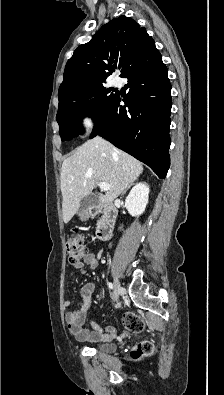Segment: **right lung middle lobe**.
I'll list each match as a JSON object with an SVG mask.
<instances>
[{"mask_svg": "<svg viewBox=\"0 0 224 395\" xmlns=\"http://www.w3.org/2000/svg\"><path fill=\"white\" fill-rule=\"evenodd\" d=\"M115 96L116 93L100 84L67 99L59 106L56 116L61 140H71L82 133L81 121L86 115L97 123Z\"/></svg>", "mask_w": 224, "mask_h": 395, "instance_id": "right-lung-middle-lobe-1", "label": "right lung middle lobe"}]
</instances>
